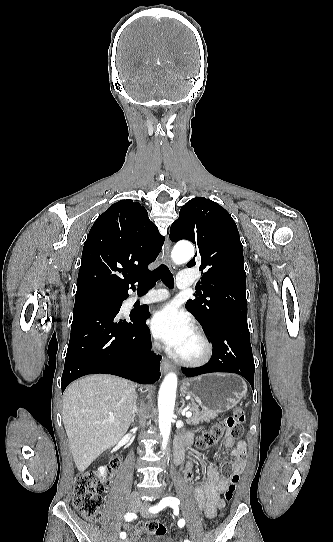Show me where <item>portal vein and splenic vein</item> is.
<instances>
[{"label": "portal vein and splenic vein", "instance_id": "obj_1", "mask_svg": "<svg viewBox=\"0 0 333 542\" xmlns=\"http://www.w3.org/2000/svg\"><path fill=\"white\" fill-rule=\"evenodd\" d=\"M185 416H186V418H191L192 412H185ZM112 424H113V422H112Z\"/></svg>", "mask_w": 333, "mask_h": 542}]
</instances>
